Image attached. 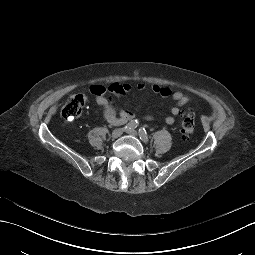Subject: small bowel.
I'll return each instance as SVG.
<instances>
[{"mask_svg": "<svg viewBox=\"0 0 255 255\" xmlns=\"http://www.w3.org/2000/svg\"><path fill=\"white\" fill-rule=\"evenodd\" d=\"M137 88L139 90H145L147 87L145 84L140 83L137 85ZM131 89L132 86L130 84L113 83L107 88L101 85H93L89 90L95 97L97 104L101 107L106 121L111 125H122L135 118V113L127 109H118L111 101L109 94H125ZM151 90L162 97L170 98L174 102V105L170 109L171 115L163 119L168 125L175 122L176 117L180 113V107L190 102V98L182 91H173L168 87L159 85H152ZM143 118L146 120H154L156 117L153 115H145Z\"/></svg>", "mask_w": 255, "mask_h": 255, "instance_id": "c3829d8e", "label": "small bowel"}]
</instances>
